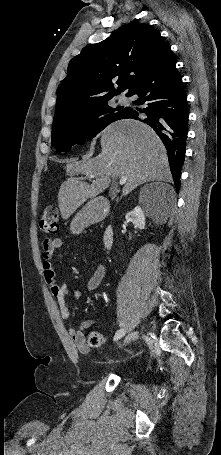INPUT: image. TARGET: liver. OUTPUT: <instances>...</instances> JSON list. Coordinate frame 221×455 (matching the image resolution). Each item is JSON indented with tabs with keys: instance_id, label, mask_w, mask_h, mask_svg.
I'll return each instance as SVG.
<instances>
[{
	"instance_id": "liver-1",
	"label": "liver",
	"mask_w": 221,
	"mask_h": 455,
	"mask_svg": "<svg viewBox=\"0 0 221 455\" xmlns=\"http://www.w3.org/2000/svg\"><path fill=\"white\" fill-rule=\"evenodd\" d=\"M101 153L87 161L67 163V178L60 186L58 206L68 219L87 199L103 193L112 178L126 176L123 195L149 181H169L171 174L166 149L148 125L133 119L112 123L102 133ZM93 175L91 184L75 175Z\"/></svg>"
}]
</instances>
